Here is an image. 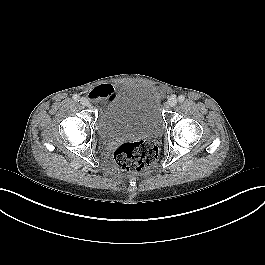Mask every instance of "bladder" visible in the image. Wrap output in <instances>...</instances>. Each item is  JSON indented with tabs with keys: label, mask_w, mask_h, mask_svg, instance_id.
<instances>
[{
	"label": "bladder",
	"mask_w": 265,
	"mask_h": 265,
	"mask_svg": "<svg viewBox=\"0 0 265 265\" xmlns=\"http://www.w3.org/2000/svg\"><path fill=\"white\" fill-rule=\"evenodd\" d=\"M164 125L156 87L134 82L123 85L100 108L97 134L103 141L124 136L159 137Z\"/></svg>",
	"instance_id": "31cf9c89"
}]
</instances>
